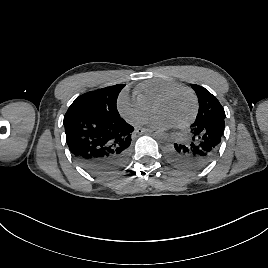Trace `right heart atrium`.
Segmentation results:
<instances>
[{
	"label": "right heart atrium",
	"instance_id": "obj_1",
	"mask_svg": "<svg viewBox=\"0 0 268 268\" xmlns=\"http://www.w3.org/2000/svg\"><path fill=\"white\" fill-rule=\"evenodd\" d=\"M117 109L122 117L134 124L147 121L152 113L149 105L126 91L119 95Z\"/></svg>",
	"mask_w": 268,
	"mask_h": 268
}]
</instances>
